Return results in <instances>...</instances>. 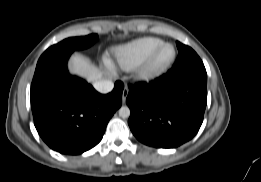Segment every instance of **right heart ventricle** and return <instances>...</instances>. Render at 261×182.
Listing matches in <instances>:
<instances>
[{
  "label": "right heart ventricle",
  "mask_w": 261,
  "mask_h": 182,
  "mask_svg": "<svg viewBox=\"0 0 261 182\" xmlns=\"http://www.w3.org/2000/svg\"><path fill=\"white\" fill-rule=\"evenodd\" d=\"M162 43H164L163 40L156 37H143L133 40L113 51L114 64L123 70L134 69Z\"/></svg>",
  "instance_id": "1"
}]
</instances>
